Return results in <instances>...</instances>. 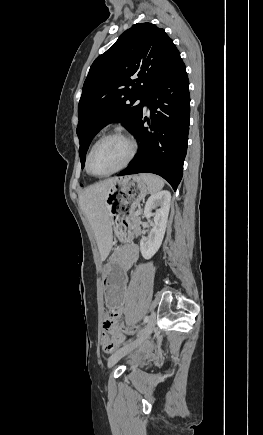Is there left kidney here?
Wrapping results in <instances>:
<instances>
[{
    "label": "left kidney",
    "mask_w": 263,
    "mask_h": 435,
    "mask_svg": "<svg viewBox=\"0 0 263 435\" xmlns=\"http://www.w3.org/2000/svg\"><path fill=\"white\" fill-rule=\"evenodd\" d=\"M171 193L168 190L152 194L144 208V216L149 219L153 217L154 224L148 237L140 241L141 254L145 259H150L160 248L168 220L170 209ZM155 210L153 213L152 211Z\"/></svg>",
    "instance_id": "obj_1"
}]
</instances>
